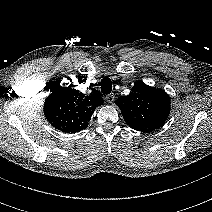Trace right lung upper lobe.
<instances>
[{"label": "right lung upper lobe", "instance_id": "1", "mask_svg": "<svg viewBox=\"0 0 212 212\" xmlns=\"http://www.w3.org/2000/svg\"><path fill=\"white\" fill-rule=\"evenodd\" d=\"M72 87L53 86L44 104L46 119L53 127L65 133L85 129L96 107L104 102L97 93L85 96Z\"/></svg>", "mask_w": 212, "mask_h": 212}]
</instances>
